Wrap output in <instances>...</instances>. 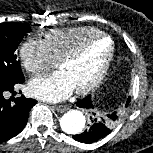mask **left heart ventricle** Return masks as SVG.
Returning <instances> with one entry per match:
<instances>
[{
  "label": "left heart ventricle",
  "mask_w": 153,
  "mask_h": 153,
  "mask_svg": "<svg viewBox=\"0 0 153 153\" xmlns=\"http://www.w3.org/2000/svg\"><path fill=\"white\" fill-rule=\"evenodd\" d=\"M110 50V42L102 39L91 44L76 61L63 65V71L74 89L88 84L98 73Z\"/></svg>",
  "instance_id": "left-heart-ventricle-1"
}]
</instances>
